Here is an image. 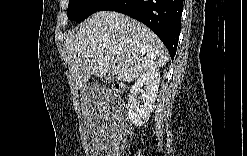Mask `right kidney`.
<instances>
[{"mask_svg":"<svg viewBox=\"0 0 247 156\" xmlns=\"http://www.w3.org/2000/svg\"><path fill=\"white\" fill-rule=\"evenodd\" d=\"M160 83V72L151 68L144 72L130 90L127 109L128 117L135 126H143L150 118ZM141 95V103L137 96Z\"/></svg>","mask_w":247,"mask_h":156,"instance_id":"1","label":"right kidney"}]
</instances>
